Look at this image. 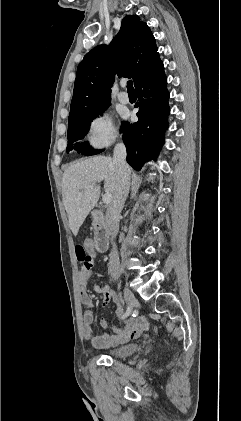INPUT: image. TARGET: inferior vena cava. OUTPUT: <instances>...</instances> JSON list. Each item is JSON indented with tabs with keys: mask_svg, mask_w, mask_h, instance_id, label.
I'll use <instances>...</instances> for the list:
<instances>
[{
	"mask_svg": "<svg viewBox=\"0 0 241 421\" xmlns=\"http://www.w3.org/2000/svg\"><path fill=\"white\" fill-rule=\"evenodd\" d=\"M126 147L123 143L116 144L113 161L117 168L118 181L112 200L106 211V226L112 241L118 234L120 214L130 188V168L126 163ZM109 272L112 276H119V256L115 242L110 253Z\"/></svg>",
	"mask_w": 241,
	"mask_h": 421,
	"instance_id": "obj_1",
	"label": "inferior vena cava"
}]
</instances>
